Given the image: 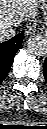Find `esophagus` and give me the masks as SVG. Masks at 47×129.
<instances>
[{"mask_svg":"<svg viewBox=\"0 0 47 129\" xmlns=\"http://www.w3.org/2000/svg\"><path fill=\"white\" fill-rule=\"evenodd\" d=\"M35 31H36V26L34 24H29L25 28V35L31 36L35 33Z\"/></svg>","mask_w":47,"mask_h":129,"instance_id":"obj_1","label":"esophagus"}]
</instances>
